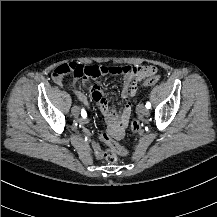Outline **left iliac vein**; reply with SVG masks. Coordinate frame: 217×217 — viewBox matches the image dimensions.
Instances as JSON below:
<instances>
[{"label":"left iliac vein","instance_id":"obj_1","mask_svg":"<svg viewBox=\"0 0 217 217\" xmlns=\"http://www.w3.org/2000/svg\"><path fill=\"white\" fill-rule=\"evenodd\" d=\"M139 111L142 115H147L149 113V110L145 106H140Z\"/></svg>","mask_w":217,"mask_h":217}]
</instances>
